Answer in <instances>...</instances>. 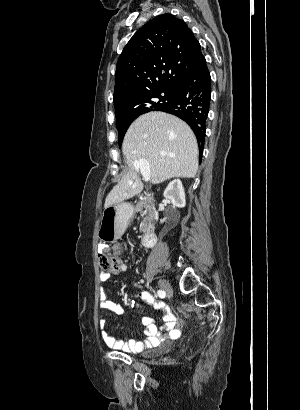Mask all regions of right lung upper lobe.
<instances>
[{"label": "right lung upper lobe", "instance_id": "right-lung-upper-lobe-1", "mask_svg": "<svg viewBox=\"0 0 300 410\" xmlns=\"http://www.w3.org/2000/svg\"><path fill=\"white\" fill-rule=\"evenodd\" d=\"M204 58L187 24L171 14L155 17L127 43L116 73V120L135 116L141 96L176 89L179 81Z\"/></svg>", "mask_w": 300, "mask_h": 410}]
</instances>
